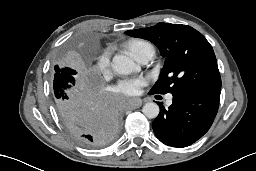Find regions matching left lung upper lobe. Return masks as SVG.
<instances>
[{
    "instance_id": "obj_1",
    "label": "left lung upper lobe",
    "mask_w": 256,
    "mask_h": 171,
    "mask_svg": "<svg viewBox=\"0 0 256 171\" xmlns=\"http://www.w3.org/2000/svg\"><path fill=\"white\" fill-rule=\"evenodd\" d=\"M125 33L151 41L166 58L150 93L173 94L182 89H193L220 94L221 77L214 51L206 38L194 28L158 23Z\"/></svg>"
}]
</instances>
